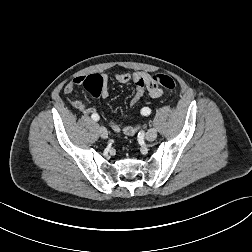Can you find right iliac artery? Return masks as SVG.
<instances>
[{
  "instance_id": "1",
  "label": "right iliac artery",
  "mask_w": 252,
  "mask_h": 252,
  "mask_svg": "<svg viewBox=\"0 0 252 252\" xmlns=\"http://www.w3.org/2000/svg\"><path fill=\"white\" fill-rule=\"evenodd\" d=\"M91 117L94 121H98L100 118L98 114H93Z\"/></svg>"
}]
</instances>
